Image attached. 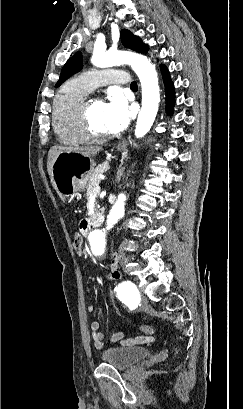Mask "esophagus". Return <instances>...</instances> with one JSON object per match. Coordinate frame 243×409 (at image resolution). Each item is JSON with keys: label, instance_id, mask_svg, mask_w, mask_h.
<instances>
[{"label": "esophagus", "instance_id": "34e87169", "mask_svg": "<svg viewBox=\"0 0 243 409\" xmlns=\"http://www.w3.org/2000/svg\"><path fill=\"white\" fill-rule=\"evenodd\" d=\"M125 146V143H120L119 145H118V148H122V147H124Z\"/></svg>", "mask_w": 243, "mask_h": 409}]
</instances>
